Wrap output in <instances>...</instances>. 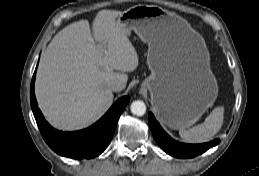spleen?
Returning a JSON list of instances; mask_svg holds the SVG:
<instances>
[{
  "instance_id": "obj_1",
  "label": "spleen",
  "mask_w": 259,
  "mask_h": 176,
  "mask_svg": "<svg viewBox=\"0 0 259 176\" xmlns=\"http://www.w3.org/2000/svg\"><path fill=\"white\" fill-rule=\"evenodd\" d=\"M224 121V107L217 106L207 116L202 124H199L189 130L181 129L180 137L188 143H203L213 139L220 131Z\"/></svg>"
}]
</instances>
